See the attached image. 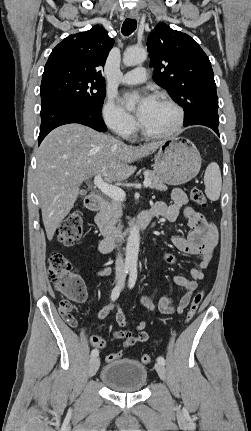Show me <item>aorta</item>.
Listing matches in <instances>:
<instances>
[{
  "mask_svg": "<svg viewBox=\"0 0 251 431\" xmlns=\"http://www.w3.org/2000/svg\"><path fill=\"white\" fill-rule=\"evenodd\" d=\"M147 58V51L144 48L130 47L123 54V63L126 66H134L141 64ZM140 246L139 227L134 225L130 229V233L126 245L125 265L131 270H136L138 252Z\"/></svg>",
  "mask_w": 251,
  "mask_h": 431,
  "instance_id": "obj_1",
  "label": "aorta"
}]
</instances>
